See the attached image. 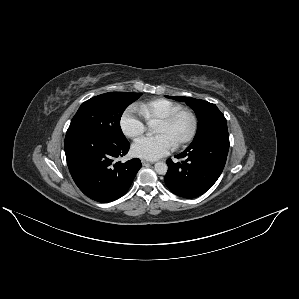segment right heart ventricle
Returning <instances> with one entry per match:
<instances>
[{"mask_svg": "<svg viewBox=\"0 0 299 299\" xmlns=\"http://www.w3.org/2000/svg\"><path fill=\"white\" fill-rule=\"evenodd\" d=\"M183 108L180 103L166 98H155L139 105V110L148 124L153 125L171 113Z\"/></svg>", "mask_w": 299, "mask_h": 299, "instance_id": "obj_1", "label": "right heart ventricle"}]
</instances>
